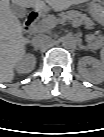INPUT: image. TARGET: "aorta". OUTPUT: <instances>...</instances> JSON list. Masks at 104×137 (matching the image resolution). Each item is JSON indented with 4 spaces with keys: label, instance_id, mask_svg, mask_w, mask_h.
<instances>
[{
    "label": "aorta",
    "instance_id": "762f6f07",
    "mask_svg": "<svg viewBox=\"0 0 104 137\" xmlns=\"http://www.w3.org/2000/svg\"><path fill=\"white\" fill-rule=\"evenodd\" d=\"M61 43L65 49H74L76 47V40L70 35L62 37Z\"/></svg>",
    "mask_w": 104,
    "mask_h": 137
}]
</instances>
